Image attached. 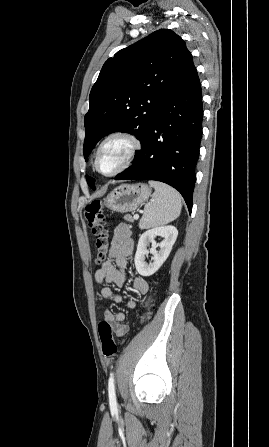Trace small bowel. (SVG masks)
I'll list each match as a JSON object with an SVG mask.
<instances>
[{"label": "small bowel", "mask_w": 269, "mask_h": 447, "mask_svg": "<svg viewBox=\"0 0 269 447\" xmlns=\"http://www.w3.org/2000/svg\"><path fill=\"white\" fill-rule=\"evenodd\" d=\"M134 249V242L131 239L129 228L124 224L117 226L114 230L108 259L96 271L95 281L99 284L107 282L118 287L124 286L127 280L125 271L128 268L129 259L134 254ZM132 286L141 295L146 294L149 290L148 283L140 277L132 279ZM100 296L103 299L112 300L116 304L124 303L129 309L137 307L135 300L129 299L125 301L122 295L115 293L110 287H103ZM104 319L111 322V326L115 328L118 336L122 337L128 332V327L123 324L125 320L123 312L114 314L110 310H106Z\"/></svg>", "instance_id": "c3829d8e"}]
</instances>
